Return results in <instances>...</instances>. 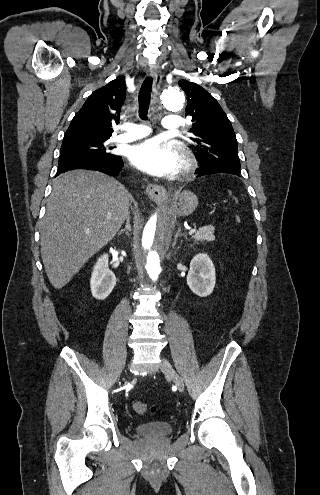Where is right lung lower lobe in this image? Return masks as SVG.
Masks as SVG:
<instances>
[{"instance_id":"right-lung-lower-lobe-1","label":"right lung lower lobe","mask_w":320,"mask_h":495,"mask_svg":"<svg viewBox=\"0 0 320 495\" xmlns=\"http://www.w3.org/2000/svg\"><path fill=\"white\" fill-rule=\"evenodd\" d=\"M124 163L121 156L111 158H65L59 160L56 176L73 169H89L117 176L122 170Z\"/></svg>"}]
</instances>
